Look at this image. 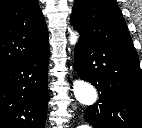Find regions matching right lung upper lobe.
Instances as JSON below:
<instances>
[{
    "label": "right lung upper lobe",
    "instance_id": "right-lung-upper-lobe-1",
    "mask_svg": "<svg viewBox=\"0 0 142 128\" xmlns=\"http://www.w3.org/2000/svg\"><path fill=\"white\" fill-rule=\"evenodd\" d=\"M48 44V30L38 0L0 2V71Z\"/></svg>",
    "mask_w": 142,
    "mask_h": 128
}]
</instances>
